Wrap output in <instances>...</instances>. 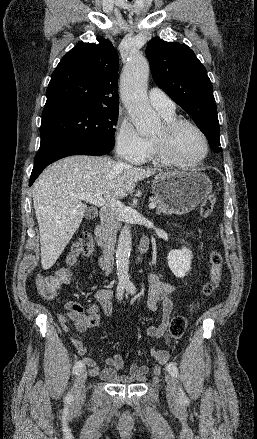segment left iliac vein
Here are the masks:
<instances>
[{
    "instance_id": "1",
    "label": "left iliac vein",
    "mask_w": 257,
    "mask_h": 439,
    "mask_svg": "<svg viewBox=\"0 0 257 439\" xmlns=\"http://www.w3.org/2000/svg\"><path fill=\"white\" fill-rule=\"evenodd\" d=\"M166 395L170 403H175L178 399L175 379L172 375H166Z\"/></svg>"
}]
</instances>
